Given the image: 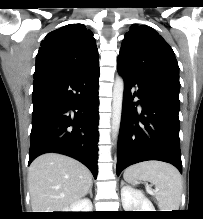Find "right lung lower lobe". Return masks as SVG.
I'll return each instance as SVG.
<instances>
[{
  "label": "right lung lower lobe",
  "instance_id": "right-lung-lower-lobe-1",
  "mask_svg": "<svg viewBox=\"0 0 203 219\" xmlns=\"http://www.w3.org/2000/svg\"><path fill=\"white\" fill-rule=\"evenodd\" d=\"M99 67L34 78L29 164L55 152L73 157L97 176Z\"/></svg>",
  "mask_w": 203,
  "mask_h": 219
}]
</instances>
